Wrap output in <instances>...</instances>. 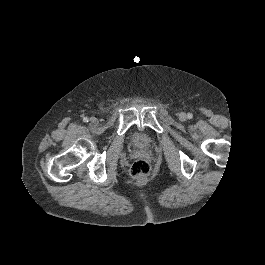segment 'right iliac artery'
I'll return each instance as SVG.
<instances>
[{
	"mask_svg": "<svg viewBox=\"0 0 265 265\" xmlns=\"http://www.w3.org/2000/svg\"><path fill=\"white\" fill-rule=\"evenodd\" d=\"M88 121H89L88 117H84V118H83V122L86 123V122H88Z\"/></svg>",
	"mask_w": 265,
	"mask_h": 265,
	"instance_id": "1",
	"label": "right iliac artery"
}]
</instances>
